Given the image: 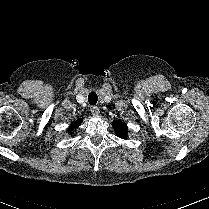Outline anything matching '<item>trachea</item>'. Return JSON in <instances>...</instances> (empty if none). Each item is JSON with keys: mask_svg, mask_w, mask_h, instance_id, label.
<instances>
[{"mask_svg": "<svg viewBox=\"0 0 209 209\" xmlns=\"http://www.w3.org/2000/svg\"><path fill=\"white\" fill-rule=\"evenodd\" d=\"M98 101V96L95 92H91L89 95H88V102L89 104L91 105H96Z\"/></svg>", "mask_w": 209, "mask_h": 209, "instance_id": "3493384b", "label": "trachea"}]
</instances>
